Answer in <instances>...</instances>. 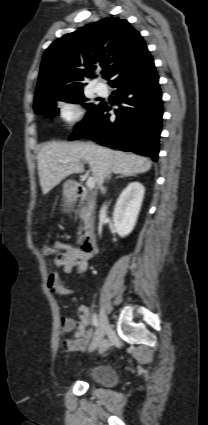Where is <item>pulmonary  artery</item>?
Here are the masks:
<instances>
[{
	"mask_svg": "<svg viewBox=\"0 0 208 425\" xmlns=\"http://www.w3.org/2000/svg\"><path fill=\"white\" fill-rule=\"evenodd\" d=\"M95 91L99 94V95H106L108 93V88L105 84L103 83H98L95 85Z\"/></svg>",
	"mask_w": 208,
	"mask_h": 425,
	"instance_id": "pulmonary-artery-1",
	"label": "pulmonary artery"
}]
</instances>
